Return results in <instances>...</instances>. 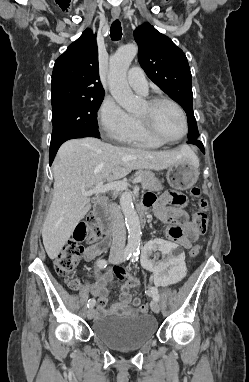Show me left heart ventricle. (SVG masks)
Returning a JSON list of instances; mask_svg holds the SVG:
<instances>
[{
    "label": "left heart ventricle",
    "instance_id": "b2bd125f",
    "mask_svg": "<svg viewBox=\"0 0 249 382\" xmlns=\"http://www.w3.org/2000/svg\"><path fill=\"white\" fill-rule=\"evenodd\" d=\"M138 117H150L157 132L165 138L174 139L183 132V122L179 112L172 105L161 103L150 109L145 103L139 110Z\"/></svg>",
    "mask_w": 249,
    "mask_h": 382
}]
</instances>
